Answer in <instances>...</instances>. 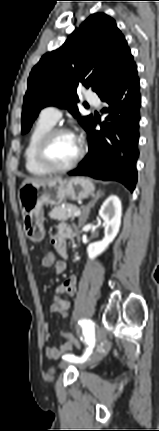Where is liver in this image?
I'll return each mask as SVG.
<instances>
[{
    "label": "liver",
    "mask_w": 159,
    "mask_h": 431,
    "mask_svg": "<svg viewBox=\"0 0 159 431\" xmlns=\"http://www.w3.org/2000/svg\"><path fill=\"white\" fill-rule=\"evenodd\" d=\"M55 179H58V178H26L22 184H27V183L44 184V183L53 181Z\"/></svg>",
    "instance_id": "1"
}]
</instances>
